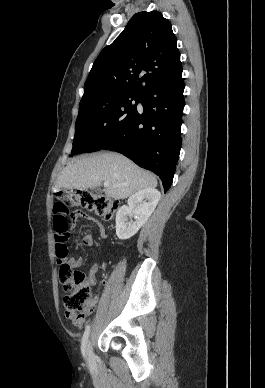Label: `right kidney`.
I'll use <instances>...</instances> for the list:
<instances>
[{"mask_svg": "<svg viewBox=\"0 0 265 388\" xmlns=\"http://www.w3.org/2000/svg\"><path fill=\"white\" fill-rule=\"evenodd\" d=\"M160 198V192L154 188H145L130 196L128 206H121L116 214L117 238L129 240L135 236L154 212Z\"/></svg>", "mask_w": 265, "mask_h": 388, "instance_id": "obj_1", "label": "right kidney"}]
</instances>
